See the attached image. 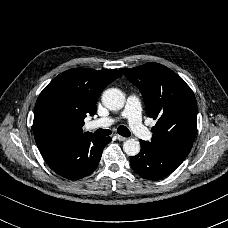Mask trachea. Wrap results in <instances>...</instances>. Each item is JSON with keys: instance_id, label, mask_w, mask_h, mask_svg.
Masks as SVG:
<instances>
[{"instance_id": "3493384b", "label": "trachea", "mask_w": 228, "mask_h": 228, "mask_svg": "<svg viewBox=\"0 0 228 228\" xmlns=\"http://www.w3.org/2000/svg\"><path fill=\"white\" fill-rule=\"evenodd\" d=\"M111 133H112V131L109 129H98L95 131V135L101 136V137L108 136ZM117 133L124 137H130V135H131L129 129L125 126H119L117 129Z\"/></svg>"}]
</instances>
